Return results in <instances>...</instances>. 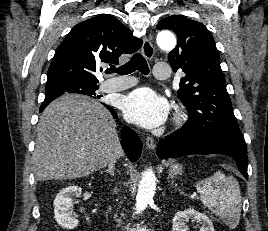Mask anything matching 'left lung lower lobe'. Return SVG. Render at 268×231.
I'll return each mask as SVG.
<instances>
[{
  "mask_svg": "<svg viewBox=\"0 0 268 231\" xmlns=\"http://www.w3.org/2000/svg\"><path fill=\"white\" fill-rule=\"evenodd\" d=\"M161 159L178 158L190 154H224L231 156L241 174L248 179L246 144L204 132L178 129L160 140L157 148Z\"/></svg>",
  "mask_w": 268,
  "mask_h": 231,
  "instance_id": "left-lung-lower-lobe-1",
  "label": "left lung lower lobe"
}]
</instances>
